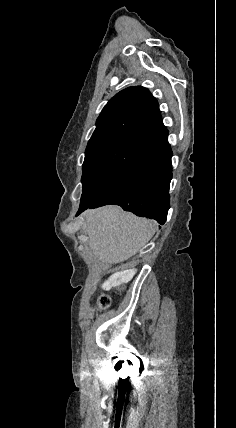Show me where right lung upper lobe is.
<instances>
[{"label": "right lung upper lobe", "instance_id": "1", "mask_svg": "<svg viewBox=\"0 0 236 428\" xmlns=\"http://www.w3.org/2000/svg\"><path fill=\"white\" fill-rule=\"evenodd\" d=\"M164 127L157 101L144 87H128L105 105L85 157L125 142H143Z\"/></svg>", "mask_w": 236, "mask_h": 428}]
</instances>
